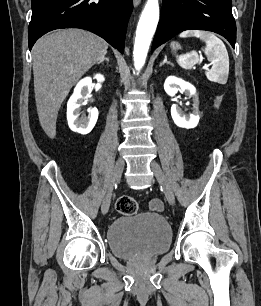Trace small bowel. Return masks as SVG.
Segmentation results:
<instances>
[{
    "mask_svg": "<svg viewBox=\"0 0 261 306\" xmlns=\"http://www.w3.org/2000/svg\"><path fill=\"white\" fill-rule=\"evenodd\" d=\"M150 207L154 210H160V209H162V203H161L160 200L154 199V200L151 201Z\"/></svg>",
    "mask_w": 261,
    "mask_h": 306,
    "instance_id": "small-bowel-1",
    "label": "small bowel"
}]
</instances>
